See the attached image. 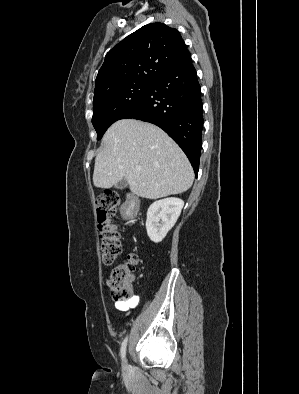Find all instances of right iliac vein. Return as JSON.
I'll return each instance as SVG.
<instances>
[{
    "label": "right iliac vein",
    "mask_w": 299,
    "mask_h": 394,
    "mask_svg": "<svg viewBox=\"0 0 299 394\" xmlns=\"http://www.w3.org/2000/svg\"><path fill=\"white\" fill-rule=\"evenodd\" d=\"M123 368H124V369H127V368H128V364H127L126 359L123 360Z\"/></svg>",
    "instance_id": "63e3f726"
}]
</instances>
